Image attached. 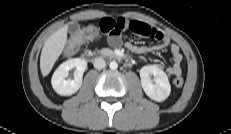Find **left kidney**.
Segmentation results:
<instances>
[{"label":"left kidney","instance_id":"obj_1","mask_svg":"<svg viewBox=\"0 0 231 134\" xmlns=\"http://www.w3.org/2000/svg\"><path fill=\"white\" fill-rule=\"evenodd\" d=\"M140 78L144 92L152 100L162 102L170 95L171 86L167 74L157 65L143 66L140 70Z\"/></svg>","mask_w":231,"mask_h":134}]
</instances>
